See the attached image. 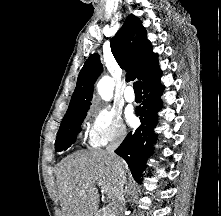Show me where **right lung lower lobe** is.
<instances>
[{"mask_svg": "<svg viewBox=\"0 0 221 216\" xmlns=\"http://www.w3.org/2000/svg\"><path fill=\"white\" fill-rule=\"evenodd\" d=\"M162 72L143 85L142 106L137 108L141 125L134 133L130 132L115 153L121 156L129 165L135 180H138L146 168V160L153 152L155 141L153 128L157 121V112L162 107L160 96L163 85L160 82Z\"/></svg>", "mask_w": 221, "mask_h": 216, "instance_id": "obj_1", "label": "right lung lower lobe"}]
</instances>
